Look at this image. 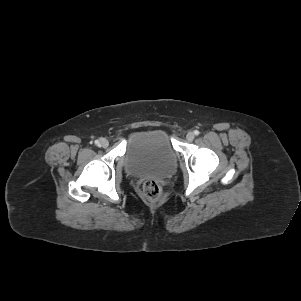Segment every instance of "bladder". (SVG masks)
Here are the masks:
<instances>
[{
    "instance_id": "obj_1",
    "label": "bladder",
    "mask_w": 301,
    "mask_h": 301,
    "mask_svg": "<svg viewBox=\"0 0 301 301\" xmlns=\"http://www.w3.org/2000/svg\"><path fill=\"white\" fill-rule=\"evenodd\" d=\"M124 167L135 177L171 176L177 167V156L168 134L159 128L134 133L128 141Z\"/></svg>"
}]
</instances>
